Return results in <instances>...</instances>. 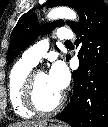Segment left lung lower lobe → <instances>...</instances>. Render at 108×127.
<instances>
[{
  "label": "left lung lower lobe",
  "instance_id": "1",
  "mask_svg": "<svg viewBox=\"0 0 108 127\" xmlns=\"http://www.w3.org/2000/svg\"><path fill=\"white\" fill-rule=\"evenodd\" d=\"M79 15L81 23L72 30L78 37L76 44L83 42L80 66L72 72L70 102L57 118L72 127H108V8L102 0H84Z\"/></svg>",
  "mask_w": 108,
  "mask_h": 127
}]
</instances>
